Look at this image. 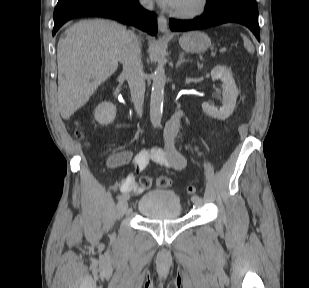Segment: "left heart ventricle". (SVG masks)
Instances as JSON below:
<instances>
[{
    "mask_svg": "<svg viewBox=\"0 0 309 288\" xmlns=\"http://www.w3.org/2000/svg\"><path fill=\"white\" fill-rule=\"evenodd\" d=\"M198 0H178L174 9L176 10H187L196 7Z\"/></svg>",
    "mask_w": 309,
    "mask_h": 288,
    "instance_id": "left-heart-ventricle-1",
    "label": "left heart ventricle"
}]
</instances>
